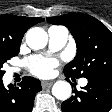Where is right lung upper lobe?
I'll return each mask as SVG.
<instances>
[{"label": "right lung upper lobe", "instance_id": "right-lung-upper-lobe-1", "mask_svg": "<svg viewBox=\"0 0 112 112\" xmlns=\"http://www.w3.org/2000/svg\"><path fill=\"white\" fill-rule=\"evenodd\" d=\"M43 18L22 17L9 14L0 15V42L21 43L25 32Z\"/></svg>", "mask_w": 112, "mask_h": 112}]
</instances>
